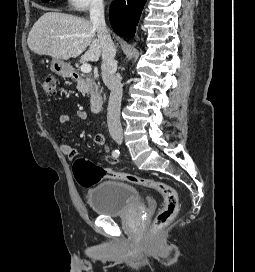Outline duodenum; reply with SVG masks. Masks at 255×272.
I'll return each mask as SVG.
<instances>
[{"label": "duodenum", "mask_w": 255, "mask_h": 272, "mask_svg": "<svg viewBox=\"0 0 255 272\" xmlns=\"http://www.w3.org/2000/svg\"><path fill=\"white\" fill-rule=\"evenodd\" d=\"M71 75L76 80L80 79V76L76 71L72 72ZM89 103H90L91 111L94 113H97L100 111L103 105V98L99 94L94 93L90 96Z\"/></svg>", "instance_id": "duodenum-1"}]
</instances>
